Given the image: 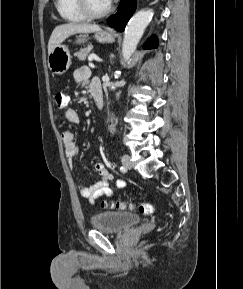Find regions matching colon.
<instances>
[{
    "instance_id": "5ec220e1",
    "label": "colon",
    "mask_w": 243,
    "mask_h": 289,
    "mask_svg": "<svg viewBox=\"0 0 243 289\" xmlns=\"http://www.w3.org/2000/svg\"><path fill=\"white\" fill-rule=\"evenodd\" d=\"M54 104L57 110H63L66 107L67 104V96L64 92H57L54 96ZM102 205L104 207L111 206V207H116L119 209H137L140 213L149 215L153 212V207L149 203H140L138 205H133V204H125L123 202H117L113 204H108L107 202H103Z\"/></svg>"
}]
</instances>
